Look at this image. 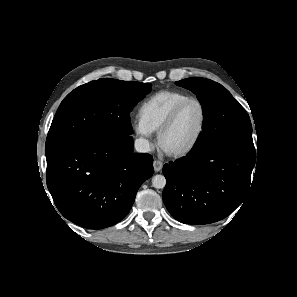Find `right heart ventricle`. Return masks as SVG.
Masks as SVG:
<instances>
[{"mask_svg":"<svg viewBox=\"0 0 297 297\" xmlns=\"http://www.w3.org/2000/svg\"><path fill=\"white\" fill-rule=\"evenodd\" d=\"M189 97L180 91H159L142 103L139 110L140 119L151 132H157L172 110Z\"/></svg>","mask_w":297,"mask_h":297,"instance_id":"obj_1","label":"right heart ventricle"}]
</instances>
